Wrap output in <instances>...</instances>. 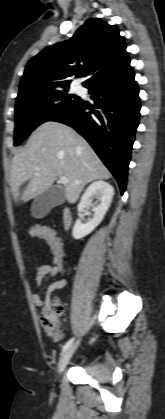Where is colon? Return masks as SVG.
Returning <instances> with one entry per match:
<instances>
[{
    "mask_svg": "<svg viewBox=\"0 0 165 419\" xmlns=\"http://www.w3.org/2000/svg\"><path fill=\"white\" fill-rule=\"evenodd\" d=\"M31 235L36 239L43 238L45 240L51 249L55 264L61 269L64 252L59 236L46 227H33L31 229ZM63 311V303L58 299H53L43 307L40 313V324L43 330L55 340L61 338L60 319Z\"/></svg>",
    "mask_w": 165,
    "mask_h": 419,
    "instance_id": "obj_1",
    "label": "colon"
}]
</instances>
